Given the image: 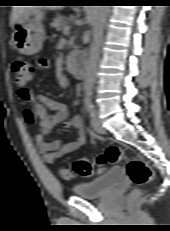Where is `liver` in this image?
Here are the masks:
<instances>
[{
  "label": "liver",
  "mask_w": 170,
  "mask_h": 231,
  "mask_svg": "<svg viewBox=\"0 0 170 231\" xmlns=\"http://www.w3.org/2000/svg\"><path fill=\"white\" fill-rule=\"evenodd\" d=\"M42 8H49L51 10L58 9L57 6H15L12 10V15L10 19V26H13L17 20L27 11H37Z\"/></svg>",
  "instance_id": "obj_1"
}]
</instances>
